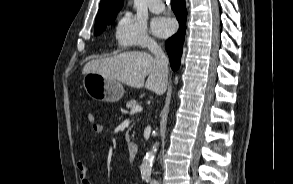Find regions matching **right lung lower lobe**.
I'll return each mask as SVG.
<instances>
[{
    "mask_svg": "<svg viewBox=\"0 0 293 184\" xmlns=\"http://www.w3.org/2000/svg\"><path fill=\"white\" fill-rule=\"evenodd\" d=\"M171 5L180 26L178 32L165 42V47L169 56L171 68L176 71L181 62L180 58L185 37L187 11L185 0H171Z\"/></svg>",
    "mask_w": 293,
    "mask_h": 184,
    "instance_id": "obj_1",
    "label": "right lung lower lobe"
}]
</instances>
